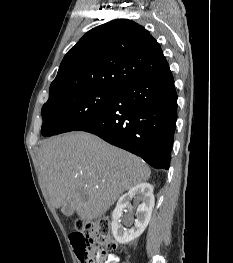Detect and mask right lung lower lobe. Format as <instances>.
Here are the masks:
<instances>
[{
	"instance_id": "obj_1",
	"label": "right lung lower lobe",
	"mask_w": 233,
	"mask_h": 263,
	"mask_svg": "<svg viewBox=\"0 0 233 263\" xmlns=\"http://www.w3.org/2000/svg\"><path fill=\"white\" fill-rule=\"evenodd\" d=\"M177 120V93L169 70L117 90L99 115L76 127L168 169Z\"/></svg>"
}]
</instances>
